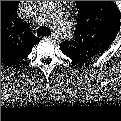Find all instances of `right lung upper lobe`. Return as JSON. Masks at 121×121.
Here are the masks:
<instances>
[{
  "mask_svg": "<svg viewBox=\"0 0 121 121\" xmlns=\"http://www.w3.org/2000/svg\"><path fill=\"white\" fill-rule=\"evenodd\" d=\"M15 2L1 1V59H23L37 39L15 15Z\"/></svg>",
  "mask_w": 121,
  "mask_h": 121,
  "instance_id": "cb5924a9",
  "label": "right lung upper lobe"
}]
</instances>
